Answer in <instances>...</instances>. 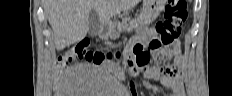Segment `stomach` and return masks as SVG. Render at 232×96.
Returning <instances> with one entry per match:
<instances>
[{
	"mask_svg": "<svg viewBox=\"0 0 232 96\" xmlns=\"http://www.w3.org/2000/svg\"><path fill=\"white\" fill-rule=\"evenodd\" d=\"M166 0H144L143 10L137 19L130 23V26L125 27V30L136 28L139 25H147L154 21L162 11ZM119 35H114L113 30L109 29L103 35L104 38H116Z\"/></svg>",
	"mask_w": 232,
	"mask_h": 96,
	"instance_id": "stomach-1",
	"label": "stomach"
}]
</instances>
